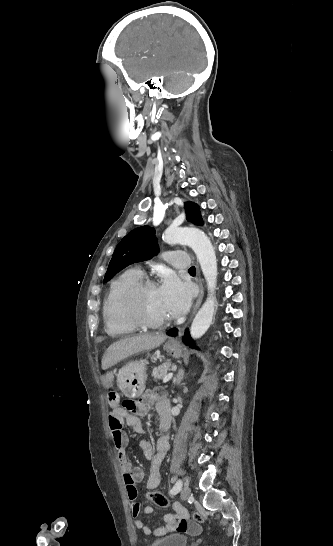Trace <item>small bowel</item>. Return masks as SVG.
I'll return each instance as SVG.
<instances>
[{
  "label": "small bowel",
  "mask_w": 333,
  "mask_h": 546,
  "mask_svg": "<svg viewBox=\"0 0 333 546\" xmlns=\"http://www.w3.org/2000/svg\"><path fill=\"white\" fill-rule=\"evenodd\" d=\"M112 371H107L105 379L102 382L104 388L112 387ZM155 405L159 414V430L160 436L157 440L156 447L148 439H140L139 447L143 452L144 457L151 461L150 473L147 478V488H157L161 483V464L169 449L168 430L170 425L169 404L167 398L155 391L148 390L144 395L134 403L132 408L115 407L108 416V426L114 446L118 452L119 467L122 474L123 482L129 500L132 502L131 509L134 516L140 513L141 506L137 499L136 483L144 478V472L140 467L133 466L127 459L125 447L127 445V436L123 430V425L127 424L137 434L143 433V425L140 417L145 415L147 411ZM174 513L164 515V524L154 530L155 535H163L175 529L179 532L186 529H195L196 525L188 521L187 511L179 504L173 505ZM144 513L150 515L153 509L150 506L144 508ZM135 526L141 529L145 534H150L151 529L140 519L135 520Z\"/></svg>",
  "instance_id": "c3829d8e"
}]
</instances>
